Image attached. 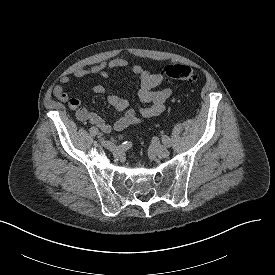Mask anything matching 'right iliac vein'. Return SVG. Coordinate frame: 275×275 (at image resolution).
I'll return each mask as SVG.
<instances>
[{
    "label": "right iliac vein",
    "mask_w": 275,
    "mask_h": 275,
    "mask_svg": "<svg viewBox=\"0 0 275 275\" xmlns=\"http://www.w3.org/2000/svg\"><path fill=\"white\" fill-rule=\"evenodd\" d=\"M102 145L107 149H109L110 151H114L116 149V146L110 141L103 140Z\"/></svg>",
    "instance_id": "63e3f726"
}]
</instances>
